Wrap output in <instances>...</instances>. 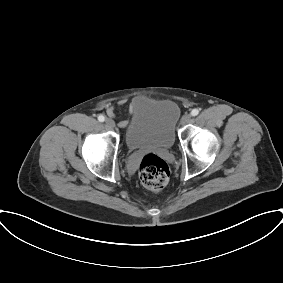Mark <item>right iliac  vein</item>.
Masks as SVG:
<instances>
[{"label": "right iliac vein", "instance_id": "63e3f726", "mask_svg": "<svg viewBox=\"0 0 283 283\" xmlns=\"http://www.w3.org/2000/svg\"><path fill=\"white\" fill-rule=\"evenodd\" d=\"M105 125H106V127H108V128H114V127H115V122H114L112 119L107 118V119L105 120Z\"/></svg>", "mask_w": 283, "mask_h": 283}]
</instances>
